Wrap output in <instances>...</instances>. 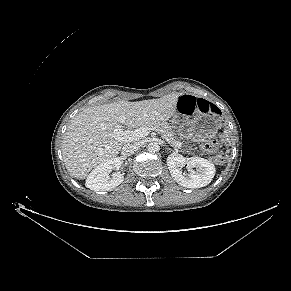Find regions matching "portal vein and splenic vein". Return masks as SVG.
<instances>
[{"mask_svg":"<svg viewBox=\"0 0 291 291\" xmlns=\"http://www.w3.org/2000/svg\"><path fill=\"white\" fill-rule=\"evenodd\" d=\"M122 120H124L123 117H122ZM151 130L153 129L150 127L144 126L135 130L122 131V129L118 127L114 130L113 135L116 140H119L121 142H131V141H136V140L146 137L151 132ZM176 145L179 148L181 147L180 143H177Z\"/></svg>","mask_w":291,"mask_h":291,"instance_id":"portal-vein-and-splenic-vein-1","label":"portal vein and splenic vein"}]
</instances>
